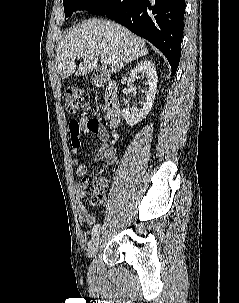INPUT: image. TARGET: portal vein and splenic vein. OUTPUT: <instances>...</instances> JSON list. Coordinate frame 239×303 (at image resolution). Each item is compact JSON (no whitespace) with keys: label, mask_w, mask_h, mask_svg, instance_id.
Segmentation results:
<instances>
[{"label":"portal vein and splenic vein","mask_w":239,"mask_h":303,"mask_svg":"<svg viewBox=\"0 0 239 303\" xmlns=\"http://www.w3.org/2000/svg\"><path fill=\"white\" fill-rule=\"evenodd\" d=\"M102 58V61L105 63V64H110L112 62V60L110 58H107V57H103L101 56Z\"/></svg>","instance_id":"obj_1"}]
</instances>
